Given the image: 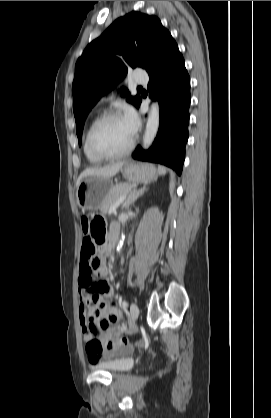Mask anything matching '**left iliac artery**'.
Returning <instances> with one entry per match:
<instances>
[{"mask_svg":"<svg viewBox=\"0 0 271 418\" xmlns=\"http://www.w3.org/2000/svg\"><path fill=\"white\" fill-rule=\"evenodd\" d=\"M122 306H123V308H125V309H126V308L128 307V302L124 300V301L122 302Z\"/></svg>","mask_w":271,"mask_h":418,"instance_id":"obj_1","label":"left iliac artery"}]
</instances>
